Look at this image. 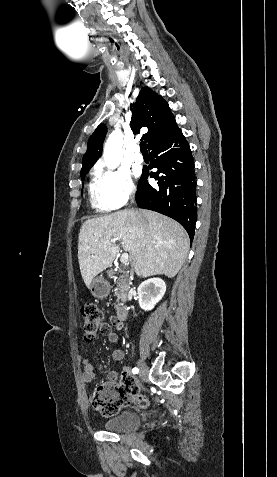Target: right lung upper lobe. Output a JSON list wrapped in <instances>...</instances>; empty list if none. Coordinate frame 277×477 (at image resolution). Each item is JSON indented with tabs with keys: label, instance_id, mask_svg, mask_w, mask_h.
Listing matches in <instances>:
<instances>
[{
	"label": "right lung upper lobe",
	"instance_id": "1",
	"mask_svg": "<svg viewBox=\"0 0 277 477\" xmlns=\"http://www.w3.org/2000/svg\"><path fill=\"white\" fill-rule=\"evenodd\" d=\"M142 127L148 128V132L142 137L148 142V149L178 128L168 103L149 87L141 89L131 119V128L134 133H138ZM106 132V125L100 124L90 136L81 170L90 169L101 156Z\"/></svg>",
	"mask_w": 277,
	"mask_h": 477
}]
</instances>
